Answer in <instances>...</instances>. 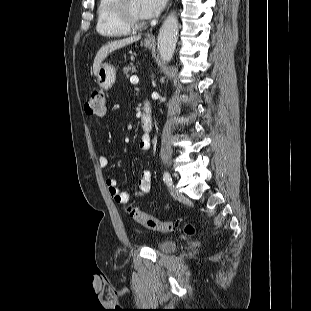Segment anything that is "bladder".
I'll list each match as a JSON object with an SVG mask.
<instances>
[{"instance_id":"bladder-1","label":"bladder","mask_w":311,"mask_h":311,"mask_svg":"<svg viewBox=\"0 0 311 311\" xmlns=\"http://www.w3.org/2000/svg\"><path fill=\"white\" fill-rule=\"evenodd\" d=\"M157 248L161 252H172L176 248V242L170 239H164L158 244Z\"/></svg>"}]
</instances>
